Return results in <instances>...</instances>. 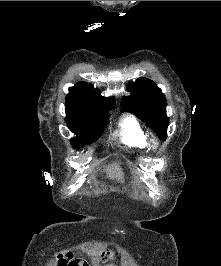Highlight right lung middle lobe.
I'll list each match as a JSON object with an SVG mask.
<instances>
[{
  "instance_id": "right-lung-middle-lobe-1",
  "label": "right lung middle lobe",
  "mask_w": 221,
  "mask_h": 266,
  "mask_svg": "<svg viewBox=\"0 0 221 266\" xmlns=\"http://www.w3.org/2000/svg\"><path fill=\"white\" fill-rule=\"evenodd\" d=\"M66 123L76 137L71 139L73 148H80L93 143L101 136L107 125L109 115L99 117H84L66 110Z\"/></svg>"
}]
</instances>
